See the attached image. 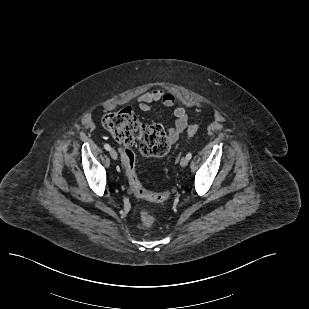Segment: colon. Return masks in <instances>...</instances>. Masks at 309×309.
<instances>
[{"label": "colon", "instance_id": "colon-1", "mask_svg": "<svg viewBox=\"0 0 309 309\" xmlns=\"http://www.w3.org/2000/svg\"><path fill=\"white\" fill-rule=\"evenodd\" d=\"M105 128L122 144V160L126 167L129 184L135 195L151 202H164L170 193H152L143 188L139 182L135 169V155L132 145L138 142L141 153L145 156L159 157L165 155L170 148L168 137L159 124L144 125L138 117L128 108L108 113L102 119ZM198 126L193 125L188 129L189 135H194ZM142 225L150 227L155 219L147 209L140 213Z\"/></svg>", "mask_w": 309, "mask_h": 309}]
</instances>
